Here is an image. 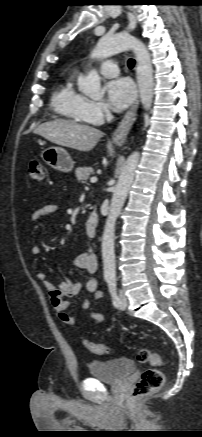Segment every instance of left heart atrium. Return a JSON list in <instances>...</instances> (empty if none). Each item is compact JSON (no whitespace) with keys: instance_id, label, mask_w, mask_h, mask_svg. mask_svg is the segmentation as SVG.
Returning a JSON list of instances; mask_svg holds the SVG:
<instances>
[{"instance_id":"1","label":"left heart atrium","mask_w":202,"mask_h":437,"mask_svg":"<svg viewBox=\"0 0 202 437\" xmlns=\"http://www.w3.org/2000/svg\"><path fill=\"white\" fill-rule=\"evenodd\" d=\"M105 90L107 99L115 111L124 110L135 98V88L128 78H117L109 81Z\"/></svg>"}]
</instances>
